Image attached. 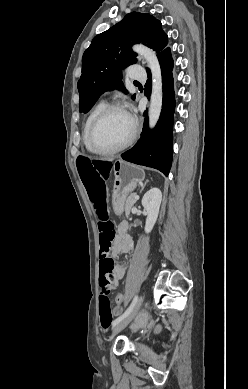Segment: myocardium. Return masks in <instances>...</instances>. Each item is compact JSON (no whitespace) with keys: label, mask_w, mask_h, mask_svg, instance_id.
Masks as SVG:
<instances>
[{"label":"myocardium","mask_w":248,"mask_h":389,"mask_svg":"<svg viewBox=\"0 0 248 389\" xmlns=\"http://www.w3.org/2000/svg\"><path fill=\"white\" fill-rule=\"evenodd\" d=\"M114 110L123 111L130 117V119L132 120V123H133V131H132V134L130 135V137L121 145H119L115 148H111V149H101L94 144V133H95L96 128L100 124V122L104 119V117ZM138 132H139L138 121L136 120V118L133 115L130 114V112L126 109V107L124 105H122L121 103H117V102L109 103V104H106L98 112V114L95 116V118L93 119V121L90 125V128H89L88 142H89V146L93 152L100 154V155H113V154L119 153V152L125 150L126 148H128L137 138Z\"/></svg>","instance_id":"f54148a6"}]
</instances>
